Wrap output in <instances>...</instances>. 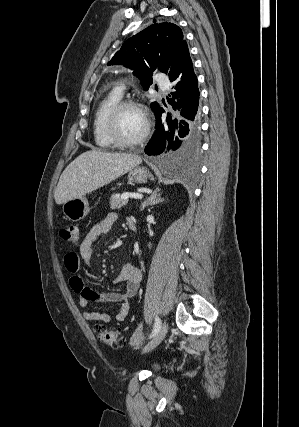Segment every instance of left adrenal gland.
Returning <instances> with one entry per match:
<instances>
[{"instance_id":"left-adrenal-gland-1","label":"left adrenal gland","mask_w":299,"mask_h":427,"mask_svg":"<svg viewBox=\"0 0 299 427\" xmlns=\"http://www.w3.org/2000/svg\"><path fill=\"white\" fill-rule=\"evenodd\" d=\"M160 189H155L154 192L141 204L140 210H144V208L148 205H154L159 202H162L163 199L161 198V194L158 193Z\"/></svg>"}]
</instances>
